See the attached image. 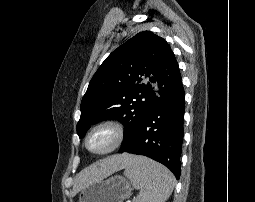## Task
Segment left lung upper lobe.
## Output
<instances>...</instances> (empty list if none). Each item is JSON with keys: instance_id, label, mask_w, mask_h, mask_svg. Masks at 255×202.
<instances>
[{"instance_id": "left-lung-upper-lobe-1", "label": "left lung upper lobe", "mask_w": 255, "mask_h": 202, "mask_svg": "<svg viewBox=\"0 0 255 202\" xmlns=\"http://www.w3.org/2000/svg\"><path fill=\"white\" fill-rule=\"evenodd\" d=\"M180 85L168 43L150 31L140 32L114 50L94 74L81 102L77 134L81 138L91 124L117 119L125 126L123 149L150 110Z\"/></svg>"}]
</instances>
